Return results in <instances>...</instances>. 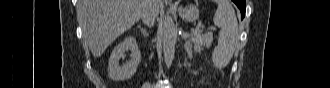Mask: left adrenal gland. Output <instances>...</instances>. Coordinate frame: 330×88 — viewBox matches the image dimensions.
Returning <instances> with one entry per match:
<instances>
[{
    "instance_id": "obj_1",
    "label": "left adrenal gland",
    "mask_w": 330,
    "mask_h": 88,
    "mask_svg": "<svg viewBox=\"0 0 330 88\" xmlns=\"http://www.w3.org/2000/svg\"><path fill=\"white\" fill-rule=\"evenodd\" d=\"M184 48L188 54H192V49H191L190 45L185 44Z\"/></svg>"
}]
</instances>
